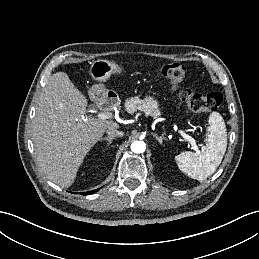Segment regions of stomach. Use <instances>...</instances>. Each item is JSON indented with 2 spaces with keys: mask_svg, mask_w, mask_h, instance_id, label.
<instances>
[{
  "mask_svg": "<svg viewBox=\"0 0 259 259\" xmlns=\"http://www.w3.org/2000/svg\"><path fill=\"white\" fill-rule=\"evenodd\" d=\"M122 67L116 64L115 62L109 60H96L91 64L90 75L93 80L99 82L92 86L90 90V95H98L104 92V86L102 82L107 81L111 75L121 73Z\"/></svg>",
  "mask_w": 259,
  "mask_h": 259,
  "instance_id": "0dacf381",
  "label": "stomach"
}]
</instances>
